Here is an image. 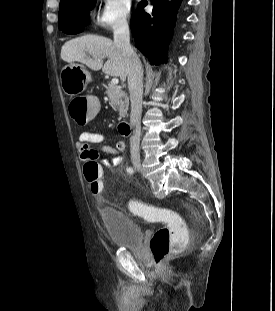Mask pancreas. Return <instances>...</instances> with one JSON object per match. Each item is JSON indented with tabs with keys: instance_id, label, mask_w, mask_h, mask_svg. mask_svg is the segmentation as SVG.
<instances>
[{
	"instance_id": "cf45deb5",
	"label": "pancreas",
	"mask_w": 275,
	"mask_h": 311,
	"mask_svg": "<svg viewBox=\"0 0 275 311\" xmlns=\"http://www.w3.org/2000/svg\"><path fill=\"white\" fill-rule=\"evenodd\" d=\"M105 93L109 97L111 105L119 112V116L125 117L129 107L127 94L112 83H108Z\"/></svg>"
}]
</instances>
